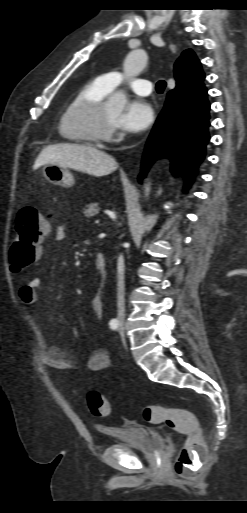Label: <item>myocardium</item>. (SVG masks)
<instances>
[{"instance_id": "f54148a6", "label": "myocardium", "mask_w": 247, "mask_h": 513, "mask_svg": "<svg viewBox=\"0 0 247 513\" xmlns=\"http://www.w3.org/2000/svg\"><path fill=\"white\" fill-rule=\"evenodd\" d=\"M106 100L93 101L73 111L66 122L69 133L93 143L113 140L115 125L105 119Z\"/></svg>"}]
</instances>
